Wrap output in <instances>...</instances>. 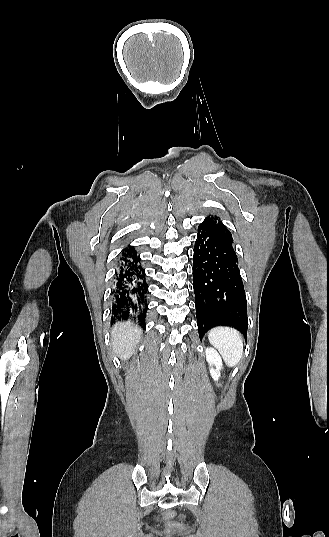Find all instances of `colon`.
<instances>
[{"label": "colon", "mask_w": 329, "mask_h": 537, "mask_svg": "<svg viewBox=\"0 0 329 537\" xmlns=\"http://www.w3.org/2000/svg\"><path fill=\"white\" fill-rule=\"evenodd\" d=\"M163 516H164L165 519L170 520V519L173 518L174 513H173L172 510L167 509V510L164 511ZM168 527L170 529H178V528H182L183 526L181 524L176 523V522L170 521L168 523Z\"/></svg>", "instance_id": "colon-1"}]
</instances>
